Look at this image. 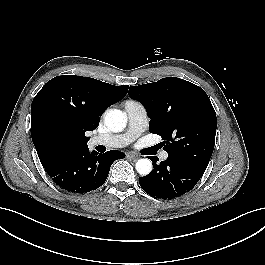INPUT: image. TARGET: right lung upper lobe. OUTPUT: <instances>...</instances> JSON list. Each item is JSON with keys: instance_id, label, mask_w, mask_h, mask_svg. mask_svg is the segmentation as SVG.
Wrapping results in <instances>:
<instances>
[{"instance_id": "cb5924a9", "label": "right lung upper lobe", "mask_w": 265, "mask_h": 265, "mask_svg": "<svg viewBox=\"0 0 265 265\" xmlns=\"http://www.w3.org/2000/svg\"><path fill=\"white\" fill-rule=\"evenodd\" d=\"M128 88L75 75L48 81L31 105V137L40 161L49 160L44 152L53 136L63 141L61 155L88 148L85 133L97 128L103 111L122 99Z\"/></svg>"}]
</instances>
